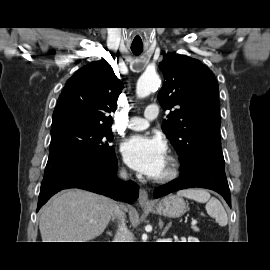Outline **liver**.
Listing matches in <instances>:
<instances>
[{
	"instance_id": "liver-1",
	"label": "liver",
	"mask_w": 270,
	"mask_h": 270,
	"mask_svg": "<svg viewBox=\"0 0 270 270\" xmlns=\"http://www.w3.org/2000/svg\"><path fill=\"white\" fill-rule=\"evenodd\" d=\"M116 206L113 199L102 195L65 190L42 208V242H88L104 232Z\"/></svg>"
}]
</instances>
